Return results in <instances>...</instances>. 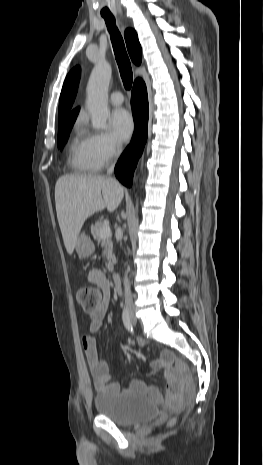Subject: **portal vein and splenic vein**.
Instances as JSON below:
<instances>
[{
  "label": "portal vein and splenic vein",
  "mask_w": 263,
  "mask_h": 465,
  "mask_svg": "<svg viewBox=\"0 0 263 465\" xmlns=\"http://www.w3.org/2000/svg\"><path fill=\"white\" fill-rule=\"evenodd\" d=\"M111 235V230L109 225H104V227L100 230V236L103 238H107Z\"/></svg>",
  "instance_id": "portal-vein-and-splenic-vein-1"
}]
</instances>
